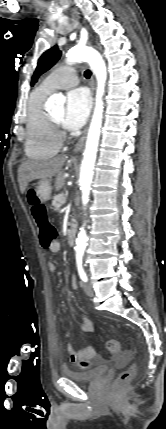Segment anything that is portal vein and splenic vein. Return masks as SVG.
I'll return each instance as SVG.
<instances>
[{
    "mask_svg": "<svg viewBox=\"0 0 166 429\" xmlns=\"http://www.w3.org/2000/svg\"><path fill=\"white\" fill-rule=\"evenodd\" d=\"M65 202H66V198L64 197L63 200H62V203H65Z\"/></svg>",
    "mask_w": 166,
    "mask_h": 429,
    "instance_id": "obj_1",
    "label": "portal vein and splenic vein"
}]
</instances>
